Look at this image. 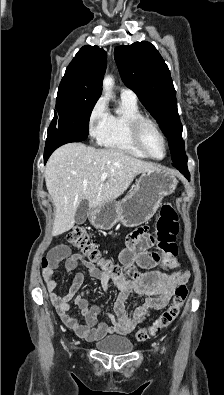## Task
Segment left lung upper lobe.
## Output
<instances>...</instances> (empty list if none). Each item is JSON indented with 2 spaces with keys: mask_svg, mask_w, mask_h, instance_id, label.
Segmentation results:
<instances>
[{
  "mask_svg": "<svg viewBox=\"0 0 224 395\" xmlns=\"http://www.w3.org/2000/svg\"><path fill=\"white\" fill-rule=\"evenodd\" d=\"M114 58L125 85L137 94L166 135L172 161L182 159L186 154L176 92L159 52L151 43L142 41L116 47Z\"/></svg>",
  "mask_w": 224,
  "mask_h": 395,
  "instance_id": "obj_1",
  "label": "left lung upper lobe"
}]
</instances>
